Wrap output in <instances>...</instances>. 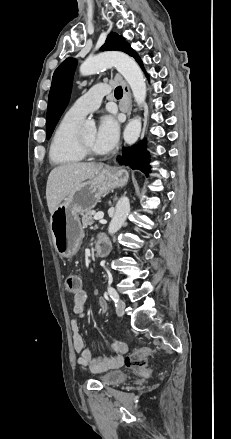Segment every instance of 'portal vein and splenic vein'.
Wrapping results in <instances>:
<instances>
[{"label":"portal vein and splenic vein","instance_id":"1","mask_svg":"<svg viewBox=\"0 0 231 439\" xmlns=\"http://www.w3.org/2000/svg\"><path fill=\"white\" fill-rule=\"evenodd\" d=\"M104 217V213L103 212H99L97 214L94 215V219L95 220H101Z\"/></svg>","mask_w":231,"mask_h":439}]
</instances>
